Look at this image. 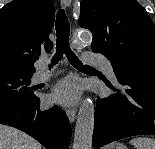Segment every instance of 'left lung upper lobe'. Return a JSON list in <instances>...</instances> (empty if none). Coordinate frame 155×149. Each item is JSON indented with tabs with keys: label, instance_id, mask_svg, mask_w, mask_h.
<instances>
[{
	"label": "left lung upper lobe",
	"instance_id": "obj_1",
	"mask_svg": "<svg viewBox=\"0 0 155 149\" xmlns=\"http://www.w3.org/2000/svg\"><path fill=\"white\" fill-rule=\"evenodd\" d=\"M79 25L93 34L91 48L113 61L155 60V26L136 0H82Z\"/></svg>",
	"mask_w": 155,
	"mask_h": 149
}]
</instances>
